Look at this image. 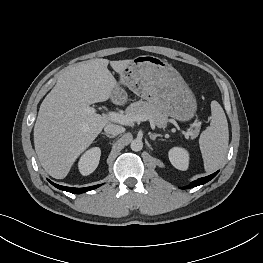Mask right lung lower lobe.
I'll return each mask as SVG.
<instances>
[{"mask_svg": "<svg viewBox=\"0 0 263 263\" xmlns=\"http://www.w3.org/2000/svg\"><path fill=\"white\" fill-rule=\"evenodd\" d=\"M49 182L52 185H54L55 187H57L58 189H61V190L67 191V192H71V193H74V194H80V193H83V192H87V191L93 190V189H95V188L100 186V185H95V186H90V187H85V188H72V187H65V186L54 184L50 180H49Z\"/></svg>", "mask_w": 263, "mask_h": 263, "instance_id": "1", "label": "right lung lower lobe"}]
</instances>
